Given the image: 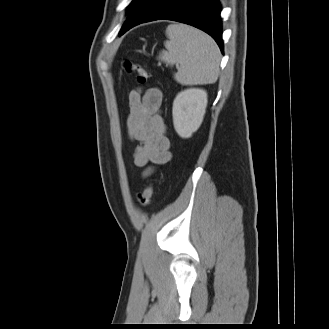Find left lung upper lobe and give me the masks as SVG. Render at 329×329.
Listing matches in <instances>:
<instances>
[{
  "label": "left lung upper lobe",
  "instance_id": "1",
  "mask_svg": "<svg viewBox=\"0 0 329 329\" xmlns=\"http://www.w3.org/2000/svg\"><path fill=\"white\" fill-rule=\"evenodd\" d=\"M146 0H132V2L128 6V18L130 15L139 7L141 6ZM127 18V19H128Z\"/></svg>",
  "mask_w": 329,
  "mask_h": 329
}]
</instances>
